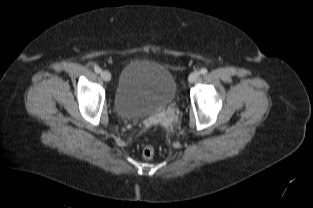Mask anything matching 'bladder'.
Returning a JSON list of instances; mask_svg holds the SVG:
<instances>
[{
  "label": "bladder",
  "mask_w": 313,
  "mask_h": 208,
  "mask_svg": "<svg viewBox=\"0 0 313 208\" xmlns=\"http://www.w3.org/2000/svg\"><path fill=\"white\" fill-rule=\"evenodd\" d=\"M176 91V80L168 69L149 61H133L121 71L114 107L122 118H146L170 105Z\"/></svg>",
  "instance_id": "31cf9c89"
}]
</instances>
